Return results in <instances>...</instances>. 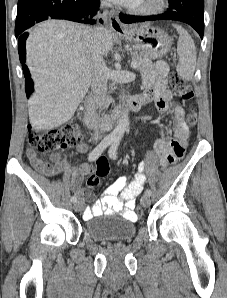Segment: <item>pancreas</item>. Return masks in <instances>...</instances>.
Masks as SVG:
<instances>
[{
    "instance_id": "1",
    "label": "pancreas",
    "mask_w": 227,
    "mask_h": 298,
    "mask_svg": "<svg viewBox=\"0 0 227 298\" xmlns=\"http://www.w3.org/2000/svg\"><path fill=\"white\" fill-rule=\"evenodd\" d=\"M133 59L137 61L138 65L136 67V70H138L140 73H145L153 68L151 59L144 53L135 55ZM111 102L112 99L110 97H107L104 101V105L108 106Z\"/></svg>"
}]
</instances>
